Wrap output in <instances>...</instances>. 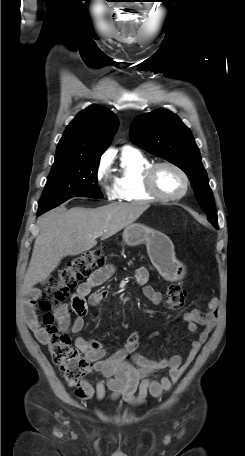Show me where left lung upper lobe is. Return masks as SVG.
<instances>
[{
	"mask_svg": "<svg viewBox=\"0 0 245 456\" xmlns=\"http://www.w3.org/2000/svg\"><path fill=\"white\" fill-rule=\"evenodd\" d=\"M132 142L182 169L208 220L218 229L214 198L191 131L172 112L157 110L136 117L130 125Z\"/></svg>",
	"mask_w": 245,
	"mask_h": 456,
	"instance_id": "obj_1",
	"label": "left lung upper lobe"
}]
</instances>
